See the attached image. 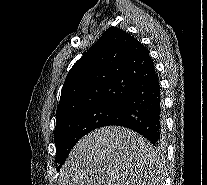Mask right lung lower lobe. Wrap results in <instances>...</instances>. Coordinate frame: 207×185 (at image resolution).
<instances>
[{"label": "right lung lower lobe", "mask_w": 207, "mask_h": 185, "mask_svg": "<svg viewBox=\"0 0 207 185\" xmlns=\"http://www.w3.org/2000/svg\"><path fill=\"white\" fill-rule=\"evenodd\" d=\"M110 125L132 129L162 149L165 120L158 77L135 91L121 105L116 118L106 124Z\"/></svg>", "instance_id": "1"}]
</instances>
